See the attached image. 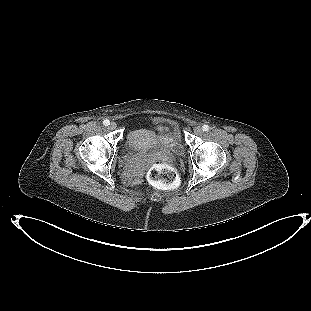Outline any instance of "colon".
I'll list each match as a JSON object with an SVG mask.
<instances>
[{
  "instance_id": "obj_1",
  "label": "colon",
  "mask_w": 311,
  "mask_h": 311,
  "mask_svg": "<svg viewBox=\"0 0 311 311\" xmlns=\"http://www.w3.org/2000/svg\"><path fill=\"white\" fill-rule=\"evenodd\" d=\"M149 182L162 189H172L178 182V174L175 169L163 162L155 161L147 172Z\"/></svg>"
}]
</instances>
